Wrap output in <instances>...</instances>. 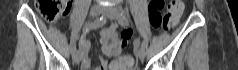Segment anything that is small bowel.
<instances>
[{
	"mask_svg": "<svg viewBox=\"0 0 238 70\" xmlns=\"http://www.w3.org/2000/svg\"><path fill=\"white\" fill-rule=\"evenodd\" d=\"M101 50L106 57H115L120 54L122 48L120 47L121 39H118L117 25H112L109 28H104L100 32ZM80 49L83 55V70H91L88 55L90 52V42L82 37L80 41ZM108 61L104 58L100 59V64L93 68V70H108Z\"/></svg>",
	"mask_w": 238,
	"mask_h": 70,
	"instance_id": "small-bowel-1",
	"label": "small bowel"
}]
</instances>
